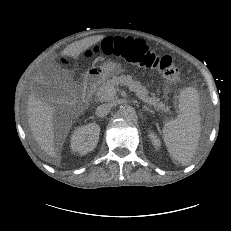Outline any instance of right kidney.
<instances>
[{
	"label": "right kidney",
	"mask_w": 231,
	"mask_h": 231,
	"mask_svg": "<svg viewBox=\"0 0 231 231\" xmlns=\"http://www.w3.org/2000/svg\"><path fill=\"white\" fill-rule=\"evenodd\" d=\"M100 127L97 123H89L77 127L71 136V149L81 155L93 151L98 144Z\"/></svg>",
	"instance_id": "ca27d5eb"
}]
</instances>
